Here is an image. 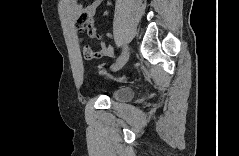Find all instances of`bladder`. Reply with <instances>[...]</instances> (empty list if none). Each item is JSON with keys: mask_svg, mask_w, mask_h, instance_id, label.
Returning <instances> with one entry per match:
<instances>
[{"mask_svg": "<svg viewBox=\"0 0 239 156\" xmlns=\"http://www.w3.org/2000/svg\"><path fill=\"white\" fill-rule=\"evenodd\" d=\"M134 97V90L130 87H118L111 92V98L117 102L126 103Z\"/></svg>", "mask_w": 239, "mask_h": 156, "instance_id": "bladder-1", "label": "bladder"}]
</instances>
